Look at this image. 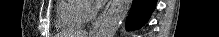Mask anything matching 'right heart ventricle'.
<instances>
[{"mask_svg": "<svg viewBox=\"0 0 219 37\" xmlns=\"http://www.w3.org/2000/svg\"><path fill=\"white\" fill-rule=\"evenodd\" d=\"M84 4L79 0L60 1L57 8V25L62 29H76L84 24Z\"/></svg>", "mask_w": 219, "mask_h": 37, "instance_id": "1", "label": "right heart ventricle"}]
</instances>
